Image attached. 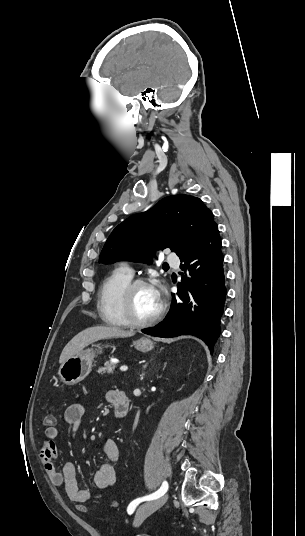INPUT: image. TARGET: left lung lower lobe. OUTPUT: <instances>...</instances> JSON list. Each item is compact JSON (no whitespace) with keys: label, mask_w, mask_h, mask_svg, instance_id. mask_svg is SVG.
Returning <instances> with one entry per match:
<instances>
[{"label":"left lung lower lobe","mask_w":305,"mask_h":536,"mask_svg":"<svg viewBox=\"0 0 305 536\" xmlns=\"http://www.w3.org/2000/svg\"><path fill=\"white\" fill-rule=\"evenodd\" d=\"M183 278L167 317L155 327L142 330L156 337L193 335L210 351L220 335L226 287L218 227L212 229L190 253L180 258Z\"/></svg>","instance_id":"left-lung-lower-lobe-1"}]
</instances>
